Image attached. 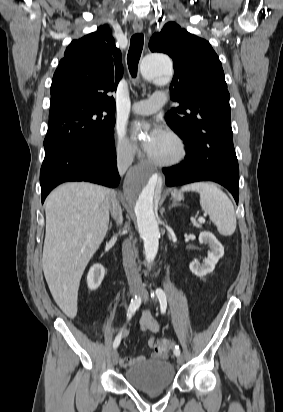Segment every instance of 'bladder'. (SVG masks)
<instances>
[{
	"label": "bladder",
	"mask_w": 283,
	"mask_h": 412,
	"mask_svg": "<svg viewBox=\"0 0 283 412\" xmlns=\"http://www.w3.org/2000/svg\"><path fill=\"white\" fill-rule=\"evenodd\" d=\"M126 382L142 392H161L175 382L176 372L167 360L146 361L134 365L124 373Z\"/></svg>",
	"instance_id": "bladder-1"
}]
</instances>
